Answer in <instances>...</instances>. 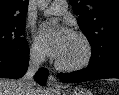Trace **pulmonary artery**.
Masks as SVG:
<instances>
[{
    "instance_id": "pulmonary-artery-1",
    "label": "pulmonary artery",
    "mask_w": 119,
    "mask_h": 95,
    "mask_svg": "<svg viewBox=\"0 0 119 95\" xmlns=\"http://www.w3.org/2000/svg\"><path fill=\"white\" fill-rule=\"evenodd\" d=\"M67 12V3L64 0L54 1L45 11L46 15H63Z\"/></svg>"
}]
</instances>
